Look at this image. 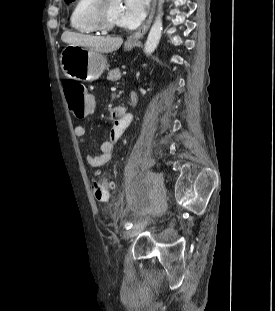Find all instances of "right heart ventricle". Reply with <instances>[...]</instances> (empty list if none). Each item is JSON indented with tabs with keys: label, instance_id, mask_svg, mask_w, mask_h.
<instances>
[{
	"label": "right heart ventricle",
	"instance_id": "obj_1",
	"mask_svg": "<svg viewBox=\"0 0 275 311\" xmlns=\"http://www.w3.org/2000/svg\"><path fill=\"white\" fill-rule=\"evenodd\" d=\"M93 2L94 0H75L69 16L72 30L82 34L99 33L89 16V9Z\"/></svg>",
	"mask_w": 275,
	"mask_h": 311
}]
</instances>
